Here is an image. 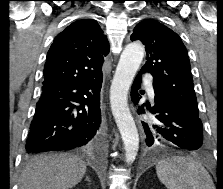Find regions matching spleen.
<instances>
[{"instance_id": "obj_1", "label": "spleen", "mask_w": 223, "mask_h": 189, "mask_svg": "<svg viewBox=\"0 0 223 189\" xmlns=\"http://www.w3.org/2000/svg\"><path fill=\"white\" fill-rule=\"evenodd\" d=\"M159 180L168 189H214L205 168L192 158L172 157L156 165Z\"/></svg>"}]
</instances>
